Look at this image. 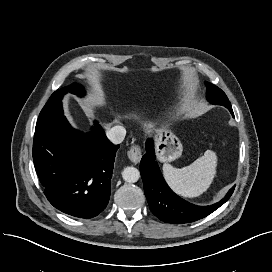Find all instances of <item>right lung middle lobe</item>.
Segmentation results:
<instances>
[{"mask_svg":"<svg viewBox=\"0 0 272 272\" xmlns=\"http://www.w3.org/2000/svg\"><path fill=\"white\" fill-rule=\"evenodd\" d=\"M67 92L82 96L84 95L85 90L81 85L74 83L71 86L66 87L65 89H58L57 91H55L40 112L37 124L59 120L64 117L61 100L63 95Z\"/></svg>","mask_w":272,"mask_h":272,"instance_id":"1","label":"right lung middle lobe"}]
</instances>
